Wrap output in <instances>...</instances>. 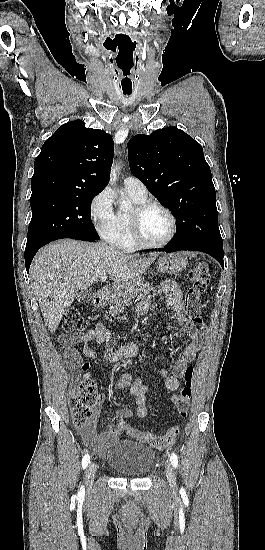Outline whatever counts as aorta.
Masks as SVG:
<instances>
[{
	"instance_id": "1",
	"label": "aorta",
	"mask_w": 265,
	"mask_h": 550,
	"mask_svg": "<svg viewBox=\"0 0 265 550\" xmlns=\"http://www.w3.org/2000/svg\"><path fill=\"white\" fill-rule=\"evenodd\" d=\"M112 176H113V179L115 180L116 179V173H115V169L112 171ZM122 205L124 206H127V201H122L120 202Z\"/></svg>"
}]
</instances>
